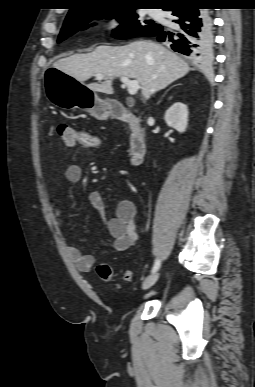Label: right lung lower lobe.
I'll return each mask as SVG.
<instances>
[{
    "label": "right lung lower lobe",
    "mask_w": 255,
    "mask_h": 387,
    "mask_svg": "<svg viewBox=\"0 0 255 387\" xmlns=\"http://www.w3.org/2000/svg\"><path fill=\"white\" fill-rule=\"evenodd\" d=\"M205 6L198 0L181 1L164 10L171 11L174 28L161 25L148 27L142 36L157 37L174 51L187 55L191 60L205 63L212 53V20Z\"/></svg>",
    "instance_id": "1"
}]
</instances>
